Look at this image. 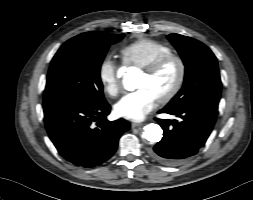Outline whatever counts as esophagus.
I'll use <instances>...</instances> for the list:
<instances>
[{
  "instance_id": "obj_1",
  "label": "esophagus",
  "mask_w": 253,
  "mask_h": 200,
  "mask_svg": "<svg viewBox=\"0 0 253 200\" xmlns=\"http://www.w3.org/2000/svg\"><path fill=\"white\" fill-rule=\"evenodd\" d=\"M142 125H143V124H142V123H139V122H133V123L131 124L132 128L140 127V126H142Z\"/></svg>"
}]
</instances>
